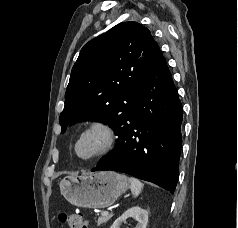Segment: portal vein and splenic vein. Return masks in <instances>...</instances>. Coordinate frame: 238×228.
<instances>
[{
	"mask_svg": "<svg viewBox=\"0 0 238 228\" xmlns=\"http://www.w3.org/2000/svg\"><path fill=\"white\" fill-rule=\"evenodd\" d=\"M107 214H109L108 211L102 212V215H103V216H104V215H107Z\"/></svg>",
	"mask_w": 238,
	"mask_h": 228,
	"instance_id": "1",
	"label": "portal vein and splenic vein"
}]
</instances>
